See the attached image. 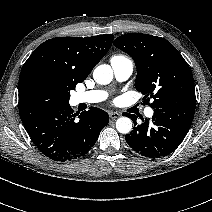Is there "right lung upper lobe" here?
Listing matches in <instances>:
<instances>
[{
	"instance_id": "obj_1",
	"label": "right lung upper lobe",
	"mask_w": 212,
	"mask_h": 212,
	"mask_svg": "<svg viewBox=\"0 0 212 212\" xmlns=\"http://www.w3.org/2000/svg\"><path fill=\"white\" fill-rule=\"evenodd\" d=\"M111 34L92 37H57L39 45L24 63L19 77V100L27 84L50 78L75 88L83 82L112 45Z\"/></svg>"
}]
</instances>
